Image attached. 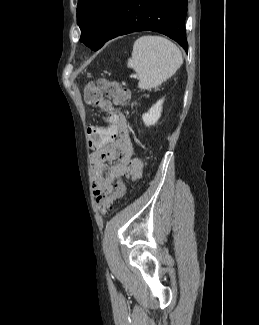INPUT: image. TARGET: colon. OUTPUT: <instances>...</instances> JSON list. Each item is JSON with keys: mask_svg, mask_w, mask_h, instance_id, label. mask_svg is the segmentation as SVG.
Here are the masks:
<instances>
[{"mask_svg": "<svg viewBox=\"0 0 259 325\" xmlns=\"http://www.w3.org/2000/svg\"><path fill=\"white\" fill-rule=\"evenodd\" d=\"M85 101L92 105L104 107L105 100H111L117 105L128 106L132 104L131 92L121 83L106 78L90 81L84 88ZM90 135L87 142H100L99 129L97 125H88ZM91 148H96V143H91ZM126 187L122 181L117 182L115 190L111 195L101 194L97 196V205L101 214H106L113 207V203L122 198Z\"/></svg>", "mask_w": 259, "mask_h": 325, "instance_id": "colon-1", "label": "colon"}]
</instances>
